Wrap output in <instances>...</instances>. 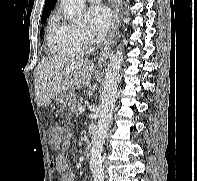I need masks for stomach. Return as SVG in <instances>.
I'll return each mask as SVG.
<instances>
[{
  "instance_id": "stomach-1",
  "label": "stomach",
  "mask_w": 197,
  "mask_h": 181,
  "mask_svg": "<svg viewBox=\"0 0 197 181\" xmlns=\"http://www.w3.org/2000/svg\"><path fill=\"white\" fill-rule=\"evenodd\" d=\"M74 99H75V95L70 90L63 91L57 96V101H58L60 107L64 110L69 109V107Z\"/></svg>"
}]
</instances>
